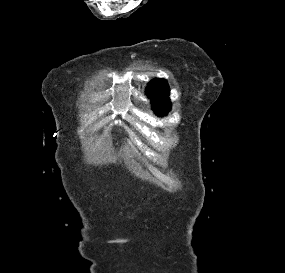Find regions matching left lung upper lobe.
<instances>
[{"label":"left lung upper lobe","mask_w":285,"mask_h":273,"mask_svg":"<svg viewBox=\"0 0 285 273\" xmlns=\"http://www.w3.org/2000/svg\"><path fill=\"white\" fill-rule=\"evenodd\" d=\"M146 94L151 99L152 109L158 116L166 115L170 111L169 86L165 79H154L149 82Z\"/></svg>","instance_id":"left-lung-upper-lobe-1"}]
</instances>
